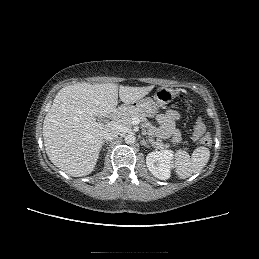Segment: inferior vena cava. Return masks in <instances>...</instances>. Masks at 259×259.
<instances>
[{
    "instance_id": "obj_1",
    "label": "inferior vena cava",
    "mask_w": 259,
    "mask_h": 259,
    "mask_svg": "<svg viewBox=\"0 0 259 259\" xmlns=\"http://www.w3.org/2000/svg\"><path fill=\"white\" fill-rule=\"evenodd\" d=\"M120 132V127L117 124H108L103 130V137L106 141H110L115 139L120 134Z\"/></svg>"
}]
</instances>
